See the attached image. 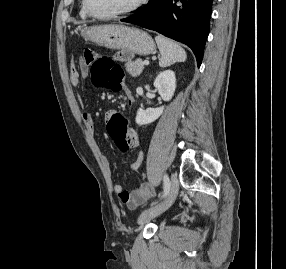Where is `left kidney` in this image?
<instances>
[{"mask_svg":"<svg viewBox=\"0 0 286 269\" xmlns=\"http://www.w3.org/2000/svg\"><path fill=\"white\" fill-rule=\"evenodd\" d=\"M154 87L164 101H170L176 89V77L172 70L161 72L154 81ZM164 106L158 108L139 109L136 115L138 125H146L157 120L163 113Z\"/></svg>","mask_w":286,"mask_h":269,"instance_id":"1","label":"left kidney"}]
</instances>
